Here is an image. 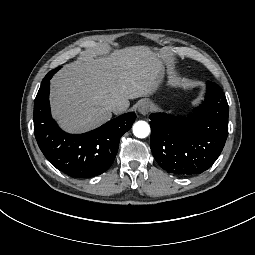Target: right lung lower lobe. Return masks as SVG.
<instances>
[{"instance_id":"98d812e1","label":"right lung lower lobe","mask_w":255,"mask_h":255,"mask_svg":"<svg viewBox=\"0 0 255 255\" xmlns=\"http://www.w3.org/2000/svg\"><path fill=\"white\" fill-rule=\"evenodd\" d=\"M50 79L47 75L43 79L34 103V133L41 151L55 168L69 176L102 174L113 163L120 138L130 130L136 114L121 115L88 133H65L51 117Z\"/></svg>"}]
</instances>
